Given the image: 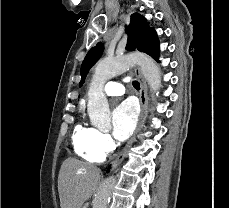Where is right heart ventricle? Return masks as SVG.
Segmentation results:
<instances>
[{
    "mask_svg": "<svg viewBox=\"0 0 229 208\" xmlns=\"http://www.w3.org/2000/svg\"><path fill=\"white\" fill-rule=\"evenodd\" d=\"M96 132L95 128L79 123L72 133V147L75 154L88 162L100 161L104 157V154L99 152L94 144Z\"/></svg>",
    "mask_w": 229,
    "mask_h": 208,
    "instance_id": "1",
    "label": "right heart ventricle"
}]
</instances>
